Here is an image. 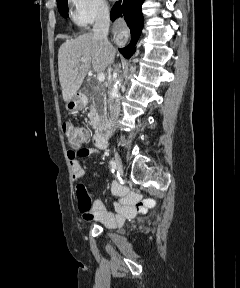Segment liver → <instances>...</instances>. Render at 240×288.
Masks as SVG:
<instances>
[{"label":"liver","mask_w":240,"mask_h":288,"mask_svg":"<svg viewBox=\"0 0 240 288\" xmlns=\"http://www.w3.org/2000/svg\"><path fill=\"white\" fill-rule=\"evenodd\" d=\"M116 50L106 47L93 33L64 42L58 52L59 80L65 102L74 97L91 67L103 72L115 58Z\"/></svg>","instance_id":"6515ba94"}]
</instances>
